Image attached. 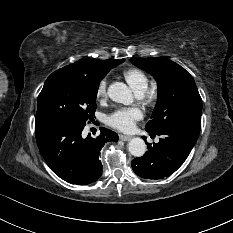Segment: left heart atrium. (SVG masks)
I'll list each match as a JSON object with an SVG mask.
<instances>
[{
    "label": "left heart atrium",
    "mask_w": 233,
    "mask_h": 233,
    "mask_svg": "<svg viewBox=\"0 0 233 233\" xmlns=\"http://www.w3.org/2000/svg\"><path fill=\"white\" fill-rule=\"evenodd\" d=\"M142 116V111L138 107L120 108L109 114L106 121L110 126L118 130L130 131Z\"/></svg>",
    "instance_id": "obj_1"
}]
</instances>
